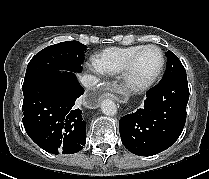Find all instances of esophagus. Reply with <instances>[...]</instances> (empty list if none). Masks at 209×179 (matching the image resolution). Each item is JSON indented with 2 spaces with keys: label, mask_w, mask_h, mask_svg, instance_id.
<instances>
[{
  "label": "esophagus",
  "mask_w": 209,
  "mask_h": 179,
  "mask_svg": "<svg viewBox=\"0 0 209 179\" xmlns=\"http://www.w3.org/2000/svg\"><path fill=\"white\" fill-rule=\"evenodd\" d=\"M105 96H110L116 100L127 102L130 99V94L124 90H119L115 86H110L108 83H99L95 88H91L85 96V103L88 106H95L98 101Z\"/></svg>",
  "instance_id": "obj_1"
}]
</instances>
